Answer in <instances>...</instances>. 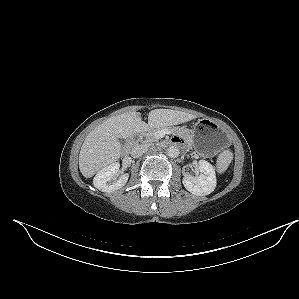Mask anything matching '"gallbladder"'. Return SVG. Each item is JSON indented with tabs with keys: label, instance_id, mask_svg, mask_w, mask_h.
Wrapping results in <instances>:
<instances>
[{
	"label": "gallbladder",
	"instance_id": "gallbladder-1",
	"mask_svg": "<svg viewBox=\"0 0 299 299\" xmlns=\"http://www.w3.org/2000/svg\"><path fill=\"white\" fill-rule=\"evenodd\" d=\"M119 141H120V143H121L122 145L125 144V140H124V139H120Z\"/></svg>",
	"mask_w": 299,
	"mask_h": 299
}]
</instances>
